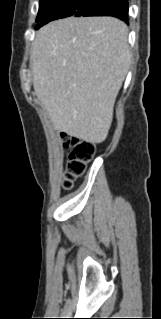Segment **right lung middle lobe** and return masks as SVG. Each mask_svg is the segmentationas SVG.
Wrapping results in <instances>:
<instances>
[{"label":"right lung middle lobe","mask_w":161,"mask_h":319,"mask_svg":"<svg viewBox=\"0 0 161 319\" xmlns=\"http://www.w3.org/2000/svg\"><path fill=\"white\" fill-rule=\"evenodd\" d=\"M96 0H40L36 29L44 24L69 16H81Z\"/></svg>","instance_id":"dd1d6c3e"}]
</instances>
